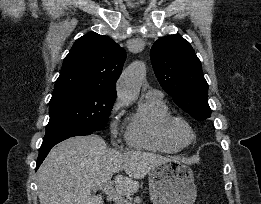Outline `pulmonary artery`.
<instances>
[{
    "label": "pulmonary artery",
    "instance_id": "pulmonary-artery-1",
    "mask_svg": "<svg viewBox=\"0 0 261 204\" xmlns=\"http://www.w3.org/2000/svg\"><path fill=\"white\" fill-rule=\"evenodd\" d=\"M145 97L148 98H162V93L156 89H148L145 93Z\"/></svg>",
    "mask_w": 261,
    "mask_h": 204
}]
</instances>
